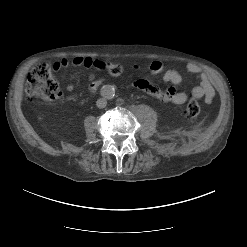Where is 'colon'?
<instances>
[{"mask_svg": "<svg viewBox=\"0 0 247 247\" xmlns=\"http://www.w3.org/2000/svg\"><path fill=\"white\" fill-rule=\"evenodd\" d=\"M93 66L97 69L111 74L119 75L122 72L120 65L111 62L94 61ZM26 94L29 98H41L52 100L60 95L58 82L52 74L48 63L37 65L27 77ZM200 95L195 91L189 93L188 100L182 108V114L188 119L195 118L200 113Z\"/></svg>", "mask_w": 247, "mask_h": 247, "instance_id": "obj_1", "label": "colon"}]
</instances>
